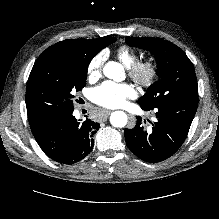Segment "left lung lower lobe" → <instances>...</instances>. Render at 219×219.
Segmentation results:
<instances>
[{
  "mask_svg": "<svg viewBox=\"0 0 219 219\" xmlns=\"http://www.w3.org/2000/svg\"><path fill=\"white\" fill-rule=\"evenodd\" d=\"M198 106V99L189 98L154 110L156 121L147 128L140 117L135 128L125 129L127 147L140 159L156 163L171 157L185 141ZM146 123V121H145Z\"/></svg>",
  "mask_w": 219,
  "mask_h": 219,
  "instance_id": "0a47b994",
  "label": "left lung lower lobe"
}]
</instances>
